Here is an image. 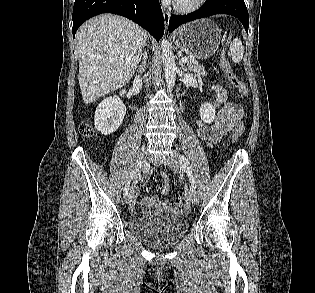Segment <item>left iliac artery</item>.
Here are the masks:
<instances>
[{"label":"left iliac artery","instance_id":"obj_1","mask_svg":"<svg viewBox=\"0 0 315 293\" xmlns=\"http://www.w3.org/2000/svg\"><path fill=\"white\" fill-rule=\"evenodd\" d=\"M179 158H180L181 168L186 172L193 188L195 189L196 188L195 179L186 158L184 157V155H180Z\"/></svg>","mask_w":315,"mask_h":293}]
</instances>
